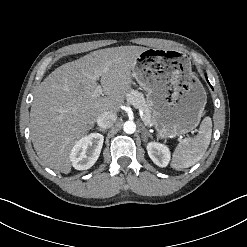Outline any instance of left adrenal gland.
I'll return each instance as SVG.
<instances>
[{"instance_id":"a2214340","label":"left adrenal gland","mask_w":247,"mask_h":247,"mask_svg":"<svg viewBox=\"0 0 247 247\" xmlns=\"http://www.w3.org/2000/svg\"><path fill=\"white\" fill-rule=\"evenodd\" d=\"M142 126V138H143V141L146 142L147 141V137H151L152 138V135L148 132V130L143 126Z\"/></svg>"}]
</instances>
